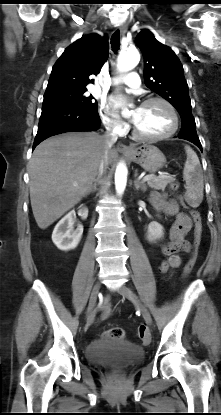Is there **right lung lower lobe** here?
<instances>
[{"label":"right lung lower lobe","mask_w":221,"mask_h":415,"mask_svg":"<svg viewBox=\"0 0 221 415\" xmlns=\"http://www.w3.org/2000/svg\"><path fill=\"white\" fill-rule=\"evenodd\" d=\"M98 111L64 103H43L35 147L48 137L71 131H94L100 127Z\"/></svg>","instance_id":"1"}]
</instances>
